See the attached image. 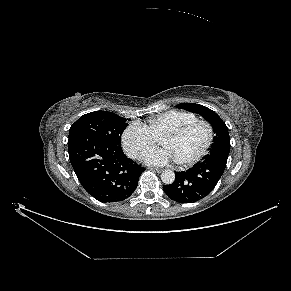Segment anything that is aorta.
<instances>
[{"mask_svg": "<svg viewBox=\"0 0 291 291\" xmlns=\"http://www.w3.org/2000/svg\"><path fill=\"white\" fill-rule=\"evenodd\" d=\"M161 180L165 184H172L175 181V173L172 170H165L161 174Z\"/></svg>", "mask_w": 291, "mask_h": 291, "instance_id": "762f6f07", "label": "aorta"}]
</instances>
